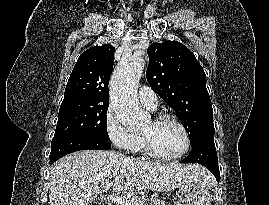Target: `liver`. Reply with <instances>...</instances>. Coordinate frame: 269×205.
<instances>
[{
    "instance_id": "6515ba94",
    "label": "liver",
    "mask_w": 269,
    "mask_h": 205,
    "mask_svg": "<svg viewBox=\"0 0 269 205\" xmlns=\"http://www.w3.org/2000/svg\"><path fill=\"white\" fill-rule=\"evenodd\" d=\"M116 192L142 185L154 192L173 190L189 180L207 186L211 174L196 164L144 162L114 151L82 150L55 162L50 171V205H88L105 182Z\"/></svg>"
}]
</instances>
